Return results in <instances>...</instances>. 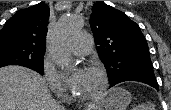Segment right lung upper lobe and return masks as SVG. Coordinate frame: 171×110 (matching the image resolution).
<instances>
[{
    "instance_id": "right-lung-upper-lobe-1",
    "label": "right lung upper lobe",
    "mask_w": 171,
    "mask_h": 110,
    "mask_svg": "<svg viewBox=\"0 0 171 110\" xmlns=\"http://www.w3.org/2000/svg\"><path fill=\"white\" fill-rule=\"evenodd\" d=\"M49 13L45 3L19 10L0 30V43L10 42L45 51Z\"/></svg>"
}]
</instances>
